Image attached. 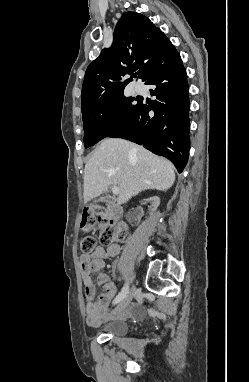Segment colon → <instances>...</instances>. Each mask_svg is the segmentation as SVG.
<instances>
[{
    "label": "colon",
    "mask_w": 249,
    "mask_h": 382,
    "mask_svg": "<svg viewBox=\"0 0 249 382\" xmlns=\"http://www.w3.org/2000/svg\"><path fill=\"white\" fill-rule=\"evenodd\" d=\"M97 223L101 225L100 242L103 245H111L124 239V227L117 223L115 218L108 214L100 206L85 208L81 215L80 227L82 230L92 229ZM96 246V240L92 236L81 239V249L91 252Z\"/></svg>",
    "instance_id": "1"
}]
</instances>
